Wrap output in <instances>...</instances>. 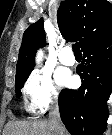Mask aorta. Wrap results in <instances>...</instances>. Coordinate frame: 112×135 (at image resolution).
Returning a JSON list of instances; mask_svg holds the SVG:
<instances>
[{
	"label": "aorta",
	"mask_w": 112,
	"mask_h": 135,
	"mask_svg": "<svg viewBox=\"0 0 112 135\" xmlns=\"http://www.w3.org/2000/svg\"><path fill=\"white\" fill-rule=\"evenodd\" d=\"M41 59H42V52L39 51L38 54H37V57H36L37 64H39L41 62Z\"/></svg>",
	"instance_id": "1"
}]
</instances>
